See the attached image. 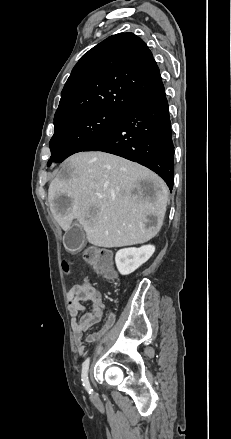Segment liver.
Instances as JSON below:
<instances>
[{
    "mask_svg": "<svg viewBox=\"0 0 231 439\" xmlns=\"http://www.w3.org/2000/svg\"><path fill=\"white\" fill-rule=\"evenodd\" d=\"M48 202L64 231L77 219L89 243L112 248L142 244L157 235L168 190L146 167L105 152H80L63 163L50 183ZM150 215L157 217L156 224H149Z\"/></svg>",
    "mask_w": 231,
    "mask_h": 439,
    "instance_id": "1",
    "label": "liver"
}]
</instances>
